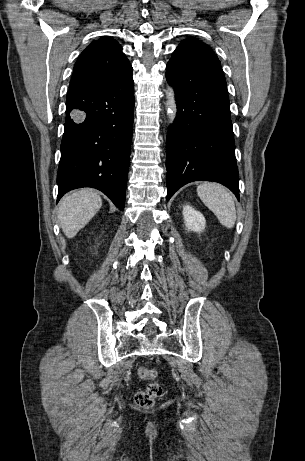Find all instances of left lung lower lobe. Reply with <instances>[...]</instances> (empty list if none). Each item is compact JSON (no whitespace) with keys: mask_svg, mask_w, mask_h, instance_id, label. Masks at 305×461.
<instances>
[{"mask_svg":"<svg viewBox=\"0 0 305 461\" xmlns=\"http://www.w3.org/2000/svg\"><path fill=\"white\" fill-rule=\"evenodd\" d=\"M166 79L177 115L166 141L167 200L192 181H215L239 198L235 142L220 61L172 55Z\"/></svg>","mask_w":305,"mask_h":461,"instance_id":"0a47b994","label":"left lung lower lobe"}]
</instances>
